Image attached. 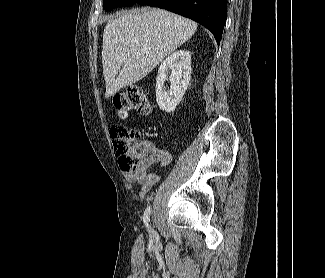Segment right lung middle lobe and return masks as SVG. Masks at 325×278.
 <instances>
[{"instance_id":"dd1d6c3e","label":"right lung middle lobe","mask_w":325,"mask_h":278,"mask_svg":"<svg viewBox=\"0 0 325 278\" xmlns=\"http://www.w3.org/2000/svg\"><path fill=\"white\" fill-rule=\"evenodd\" d=\"M138 0H103L104 9L110 11L116 7H125L135 4Z\"/></svg>"}]
</instances>
